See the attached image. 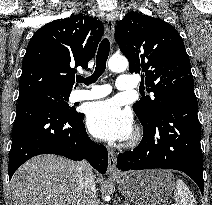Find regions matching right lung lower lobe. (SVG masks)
<instances>
[{
  "mask_svg": "<svg viewBox=\"0 0 212 205\" xmlns=\"http://www.w3.org/2000/svg\"><path fill=\"white\" fill-rule=\"evenodd\" d=\"M84 114L68 115L55 106L38 101H21L16 106L9 178L28 159L40 154L86 159L100 173L107 171L108 154L103 145L90 140Z\"/></svg>",
  "mask_w": 212,
  "mask_h": 205,
  "instance_id": "98d812e1",
  "label": "right lung lower lobe"
}]
</instances>
